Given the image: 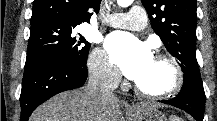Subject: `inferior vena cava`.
Here are the masks:
<instances>
[{
    "mask_svg": "<svg viewBox=\"0 0 217 121\" xmlns=\"http://www.w3.org/2000/svg\"><path fill=\"white\" fill-rule=\"evenodd\" d=\"M118 81L110 76L105 67L89 75L87 84L88 95L96 102L115 99L113 93L117 88Z\"/></svg>",
    "mask_w": 217,
    "mask_h": 121,
    "instance_id": "602c4592",
    "label": "inferior vena cava"
}]
</instances>
